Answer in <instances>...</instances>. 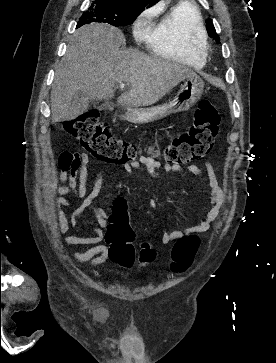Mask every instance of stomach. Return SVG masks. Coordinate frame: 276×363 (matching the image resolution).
<instances>
[{
	"label": "stomach",
	"instance_id": "1",
	"mask_svg": "<svg viewBox=\"0 0 276 363\" xmlns=\"http://www.w3.org/2000/svg\"><path fill=\"white\" fill-rule=\"evenodd\" d=\"M203 80L197 75L187 77L173 100L151 108H127L124 118L135 124H143L162 119L170 114L187 111L201 98Z\"/></svg>",
	"mask_w": 276,
	"mask_h": 363
}]
</instances>
